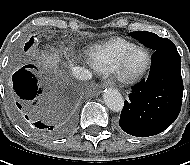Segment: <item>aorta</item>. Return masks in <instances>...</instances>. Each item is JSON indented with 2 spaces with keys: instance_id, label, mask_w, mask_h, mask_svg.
<instances>
[{
  "instance_id": "1",
  "label": "aorta",
  "mask_w": 190,
  "mask_h": 165,
  "mask_svg": "<svg viewBox=\"0 0 190 165\" xmlns=\"http://www.w3.org/2000/svg\"><path fill=\"white\" fill-rule=\"evenodd\" d=\"M104 102L108 108L120 112L124 106V99L120 92L114 88H107L103 93Z\"/></svg>"
}]
</instances>
